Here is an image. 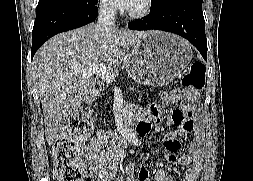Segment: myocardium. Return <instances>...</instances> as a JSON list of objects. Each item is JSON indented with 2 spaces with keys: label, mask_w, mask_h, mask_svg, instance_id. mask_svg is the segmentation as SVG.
I'll use <instances>...</instances> for the list:
<instances>
[{
  "label": "myocardium",
  "mask_w": 253,
  "mask_h": 181,
  "mask_svg": "<svg viewBox=\"0 0 253 181\" xmlns=\"http://www.w3.org/2000/svg\"><path fill=\"white\" fill-rule=\"evenodd\" d=\"M153 10V0H143V5L139 10L128 11V17L134 20H142L148 17Z\"/></svg>",
  "instance_id": "myocardium-1"
}]
</instances>
